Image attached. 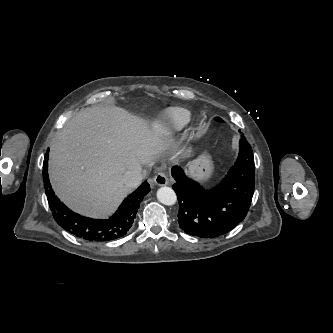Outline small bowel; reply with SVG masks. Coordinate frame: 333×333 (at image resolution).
<instances>
[{
	"label": "small bowel",
	"instance_id": "c3829d8e",
	"mask_svg": "<svg viewBox=\"0 0 333 333\" xmlns=\"http://www.w3.org/2000/svg\"><path fill=\"white\" fill-rule=\"evenodd\" d=\"M233 153L235 155H240L242 153L241 138L239 136H234L232 138Z\"/></svg>",
	"mask_w": 333,
	"mask_h": 333
}]
</instances>
